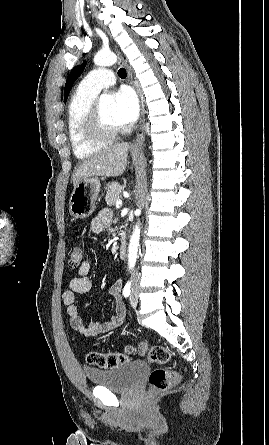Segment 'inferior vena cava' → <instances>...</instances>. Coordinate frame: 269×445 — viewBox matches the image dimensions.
Wrapping results in <instances>:
<instances>
[{"instance_id":"obj_1","label":"inferior vena cava","mask_w":269,"mask_h":445,"mask_svg":"<svg viewBox=\"0 0 269 445\" xmlns=\"http://www.w3.org/2000/svg\"><path fill=\"white\" fill-rule=\"evenodd\" d=\"M139 277H140L139 272L137 270H134L131 275V280L135 281V280L139 279Z\"/></svg>"}]
</instances>
